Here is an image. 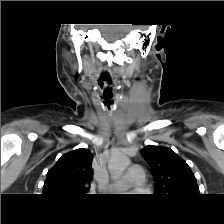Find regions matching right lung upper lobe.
<instances>
[{"instance_id":"1","label":"right lung upper lobe","mask_w":224,"mask_h":224,"mask_svg":"<svg viewBox=\"0 0 224 224\" xmlns=\"http://www.w3.org/2000/svg\"><path fill=\"white\" fill-rule=\"evenodd\" d=\"M92 159L93 154L84 148L64 154L48 171L43 194H86L93 178Z\"/></svg>"}]
</instances>
